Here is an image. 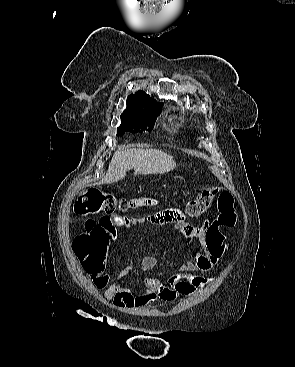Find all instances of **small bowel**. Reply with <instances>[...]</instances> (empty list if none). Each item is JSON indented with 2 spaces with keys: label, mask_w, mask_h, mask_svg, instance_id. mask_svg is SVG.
<instances>
[{
  "label": "small bowel",
  "mask_w": 295,
  "mask_h": 367,
  "mask_svg": "<svg viewBox=\"0 0 295 367\" xmlns=\"http://www.w3.org/2000/svg\"><path fill=\"white\" fill-rule=\"evenodd\" d=\"M132 208H138L152 204L147 199L132 200ZM183 208H160L159 212L142 218H125L119 215L103 216L99 224L102 226L108 238L114 239L117 229L128 227L131 224L146 223L153 226H169L175 223V229L182 233L190 245L198 244L199 248L193 250L187 260L180 266L178 272L172 275L167 282H162L151 277L148 273L157 266L154 257L146 256L140 262V270L143 273L141 282L143 289L136 293L123 287L119 281L134 267V258H130L115 279L104 272L92 277L96 288L104 291V297L112 302L118 309L154 306L157 299L167 303H174L186 296L194 294L198 289L211 283V279L197 277L196 271L210 272L219 265L223 253L213 251L207 242L208 223L202 226H193L185 221Z\"/></svg>",
  "instance_id": "1"
}]
</instances>
